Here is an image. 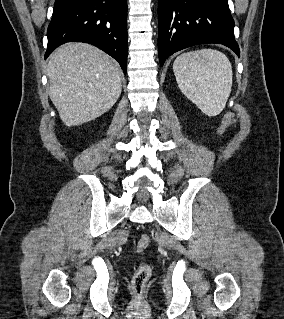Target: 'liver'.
<instances>
[{"mask_svg": "<svg viewBox=\"0 0 284 319\" xmlns=\"http://www.w3.org/2000/svg\"><path fill=\"white\" fill-rule=\"evenodd\" d=\"M49 96L66 126H78L107 112L122 90L119 65L86 43H68L50 57Z\"/></svg>", "mask_w": 284, "mask_h": 319, "instance_id": "liver-1", "label": "liver"}]
</instances>
